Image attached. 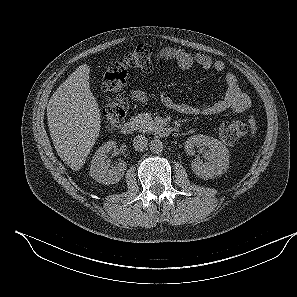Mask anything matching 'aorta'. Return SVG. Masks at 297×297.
Masks as SVG:
<instances>
[{
    "mask_svg": "<svg viewBox=\"0 0 297 297\" xmlns=\"http://www.w3.org/2000/svg\"><path fill=\"white\" fill-rule=\"evenodd\" d=\"M149 147L153 153H161L163 151V143L157 138L150 142Z\"/></svg>",
    "mask_w": 297,
    "mask_h": 297,
    "instance_id": "obj_1",
    "label": "aorta"
}]
</instances>
